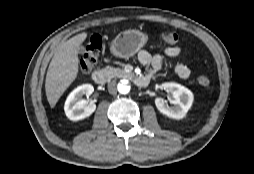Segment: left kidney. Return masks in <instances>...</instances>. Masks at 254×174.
<instances>
[{"label":"left kidney","mask_w":254,"mask_h":174,"mask_svg":"<svg viewBox=\"0 0 254 174\" xmlns=\"http://www.w3.org/2000/svg\"><path fill=\"white\" fill-rule=\"evenodd\" d=\"M162 87L168 92L169 101L173 106H168L162 100L156 99L157 109L169 118L182 119L185 117L192 106L193 93L188 88L173 82L164 83Z\"/></svg>","instance_id":"left-kidney-1"}]
</instances>
